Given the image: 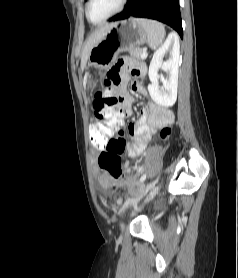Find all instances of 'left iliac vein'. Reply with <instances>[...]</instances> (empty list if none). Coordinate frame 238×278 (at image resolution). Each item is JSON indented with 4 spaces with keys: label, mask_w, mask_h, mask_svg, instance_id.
<instances>
[{
    "label": "left iliac vein",
    "mask_w": 238,
    "mask_h": 278,
    "mask_svg": "<svg viewBox=\"0 0 238 278\" xmlns=\"http://www.w3.org/2000/svg\"><path fill=\"white\" fill-rule=\"evenodd\" d=\"M158 181V178L153 181V182H149V185H146V190L143 193H140L139 191L137 192V195L130 200L128 207L131 208L132 206L136 205L137 202L140 200V198L142 197V195L144 194V196H147L148 191L151 190H158V187H153ZM125 225L124 223L122 224V231H124Z\"/></svg>",
    "instance_id": "left-iliac-vein-1"
}]
</instances>
